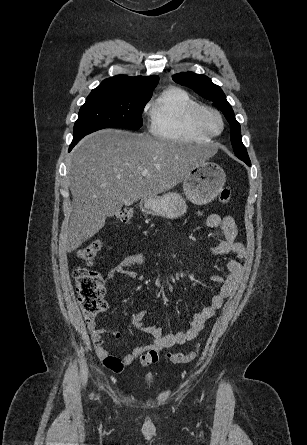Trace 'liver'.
Instances as JSON below:
<instances>
[{"mask_svg":"<svg viewBox=\"0 0 307 445\" xmlns=\"http://www.w3.org/2000/svg\"><path fill=\"white\" fill-rule=\"evenodd\" d=\"M206 154V148L157 140L145 132L103 128L88 134L74 148L68 166L73 200L60 249H78L123 204L171 190ZM142 168L149 170L147 176H142Z\"/></svg>","mask_w":307,"mask_h":445,"instance_id":"6515ba94","label":"liver"}]
</instances>
